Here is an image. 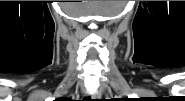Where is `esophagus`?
<instances>
[{
    "mask_svg": "<svg viewBox=\"0 0 185 101\" xmlns=\"http://www.w3.org/2000/svg\"><path fill=\"white\" fill-rule=\"evenodd\" d=\"M95 97H100V94H99V93H98V94H96V95H95Z\"/></svg>",
    "mask_w": 185,
    "mask_h": 101,
    "instance_id": "esophagus-1",
    "label": "esophagus"
}]
</instances>
